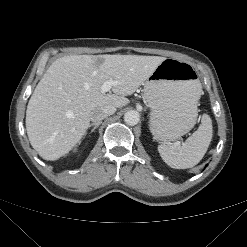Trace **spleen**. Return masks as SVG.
I'll list each match as a JSON object with an SVG mask.
<instances>
[{"label":"spleen","instance_id":"spleen-1","mask_svg":"<svg viewBox=\"0 0 247 247\" xmlns=\"http://www.w3.org/2000/svg\"><path fill=\"white\" fill-rule=\"evenodd\" d=\"M212 136V120L209 115L203 114L198 129L182 145L164 143L158 146V152L163 161L172 168H192L204 157Z\"/></svg>","mask_w":247,"mask_h":247}]
</instances>
